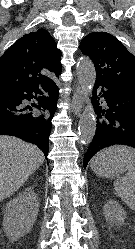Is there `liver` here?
<instances>
[{"instance_id": "1", "label": "liver", "mask_w": 135, "mask_h": 249, "mask_svg": "<svg viewBox=\"0 0 135 249\" xmlns=\"http://www.w3.org/2000/svg\"><path fill=\"white\" fill-rule=\"evenodd\" d=\"M35 145L11 136H0V201L11 196L44 162Z\"/></svg>"}]
</instances>
